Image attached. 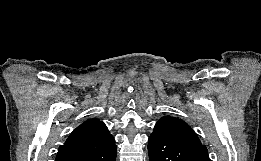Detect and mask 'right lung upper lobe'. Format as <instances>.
Here are the masks:
<instances>
[{"label": "right lung upper lobe", "instance_id": "right-lung-upper-lobe-1", "mask_svg": "<svg viewBox=\"0 0 261 161\" xmlns=\"http://www.w3.org/2000/svg\"><path fill=\"white\" fill-rule=\"evenodd\" d=\"M114 142L105 124L97 119L84 122L77 127L61 145L56 161L61 158L86 152H95L108 147Z\"/></svg>", "mask_w": 261, "mask_h": 161}]
</instances>
